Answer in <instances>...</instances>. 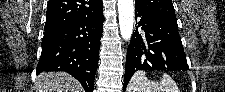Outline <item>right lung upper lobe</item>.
<instances>
[{"label": "right lung upper lobe", "instance_id": "right-lung-upper-lobe-1", "mask_svg": "<svg viewBox=\"0 0 225 92\" xmlns=\"http://www.w3.org/2000/svg\"><path fill=\"white\" fill-rule=\"evenodd\" d=\"M102 11V0H49L44 33L64 28L80 19L96 17Z\"/></svg>", "mask_w": 225, "mask_h": 92}]
</instances>
